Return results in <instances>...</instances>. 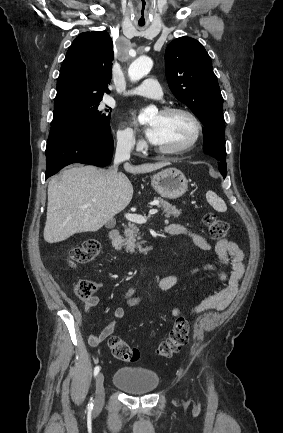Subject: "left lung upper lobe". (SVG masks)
<instances>
[{
  "label": "left lung upper lobe",
  "instance_id": "1",
  "mask_svg": "<svg viewBox=\"0 0 283 433\" xmlns=\"http://www.w3.org/2000/svg\"><path fill=\"white\" fill-rule=\"evenodd\" d=\"M165 70L174 96L187 105L204 125V137L225 142L223 98L212 61L195 39L180 37L166 48Z\"/></svg>",
  "mask_w": 283,
  "mask_h": 433
}]
</instances>
